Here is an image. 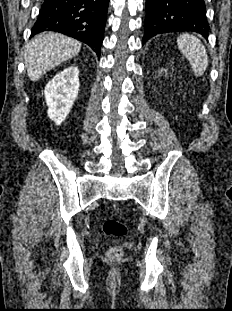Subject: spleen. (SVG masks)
<instances>
[{
	"mask_svg": "<svg viewBox=\"0 0 232 311\" xmlns=\"http://www.w3.org/2000/svg\"><path fill=\"white\" fill-rule=\"evenodd\" d=\"M177 44L190 62L195 75H203L208 65V56L202 42L193 35L183 34L177 38Z\"/></svg>",
	"mask_w": 232,
	"mask_h": 311,
	"instance_id": "obj_1",
	"label": "spleen"
}]
</instances>
